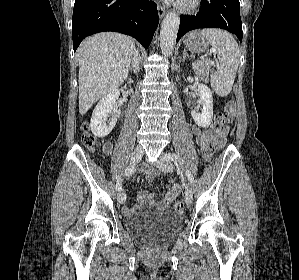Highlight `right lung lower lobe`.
Masks as SVG:
<instances>
[{
    "label": "right lung lower lobe",
    "instance_id": "right-lung-lower-lobe-1",
    "mask_svg": "<svg viewBox=\"0 0 299 280\" xmlns=\"http://www.w3.org/2000/svg\"><path fill=\"white\" fill-rule=\"evenodd\" d=\"M158 22L157 5L149 0H75L73 49L85 37L103 31L130 35L147 48Z\"/></svg>",
    "mask_w": 299,
    "mask_h": 280
}]
</instances>
